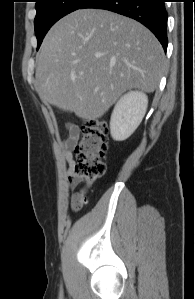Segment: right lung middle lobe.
<instances>
[{"label":"right lung middle lobe","instance_id":"1","mask_svg":"<svg viewBox=\"0 0 195 299\" xmlns=\"http://www.w3.org/2000/svg\"><path fill=\"white\" fill-rule=\"evenodd\" d=\"M88 0H36V17L34 20L38 48L51 28L63 16L80 9Z\"/></svg>","mask_w":195,"mask_h":299}]
</instances>
